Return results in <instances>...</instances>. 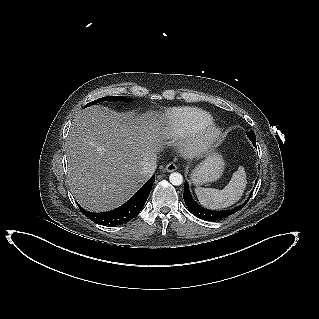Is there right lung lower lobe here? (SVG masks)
<instances>
[{"label":"right lung lower lobe","mask_w":319,"mask_h":319,"mask_svg":"<svg viewBox=\"0 0 319 319\" xmlns=\"http://www.w3.org/2000/svg\"><path fill=\"white\" fill-rule=\"evenodd\" d=\"M154 181L155 175H153L130 200H128L122 206L109 212L92 213L84 210L79 205L78 206L82 213L94 222L109 226L120 225L133 219L142 210L150 194Z\"/></svg>","instance_id":"right-lung-lower-lobe-1"}]
</instances>
